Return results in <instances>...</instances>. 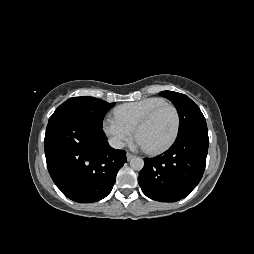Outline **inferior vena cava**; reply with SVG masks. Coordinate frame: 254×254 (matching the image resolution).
I'll list each match as a JSON object with an SVG mask.
<instances>
[{
    "instance_id": "inferior-vena-cava-1",
    "label": "inferior vena cava",
    "mask_w": 254,
    "mask_h": 254,
    "mask_svg": "<svg viewBox=\"0 0 254 254\" xmlns=\"http://www.w3.org/2000/svg\"><path fill=\"white\" fill-rule=\"evenodd\" d=\"M109 144L111 147H113L115 149H122L125 145L121 140H119L117 138H111L109 140Z\"/></svg>"
}]
</instances>
